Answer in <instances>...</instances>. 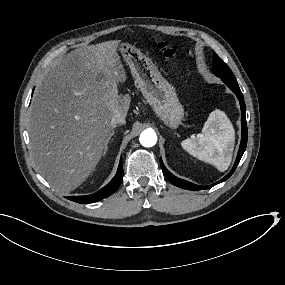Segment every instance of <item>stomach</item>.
<instances>
[{
	"mask_svg": "<svg viewBox=\"0 0 285 285\" xmlns=\"http://www.w3.org/2000/svg\"><path fill=\"white\" fill-rule=\"evenodd\" d=\"M118 50L127 62L142 95L156 115L169 127L176 129L184 116L175 87L160 73L150 58L128 43H120Z\"/></svg>",
	"mask_w": 285,
	"mask_h": 285,
	"instance_id": "stomach-1",
	"label": "stomach"
}]
</instances>
